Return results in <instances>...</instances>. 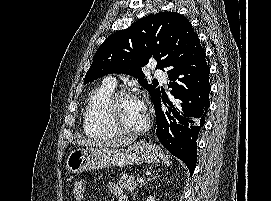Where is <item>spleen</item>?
I'll use <instances>...</instances> for the list:
<instances>
[{
	"instance_id": "obj_1",
	"label": "spleen",
	"mask_w": 271,
	"mask_h": 201,
	"mask_svg": "<svg viewBox=\"0 0 271 201\" xmlns=\"http://www.w3.org/2000/svg\"><path fill=\"white\" fill-rule=\"evenodd\" d=\"M163 160H164V162H165L168 166H170V165L172 164V162L169 160V156H168V155H166V156L163 158Z\"/></svg>"
}]
</instances>
